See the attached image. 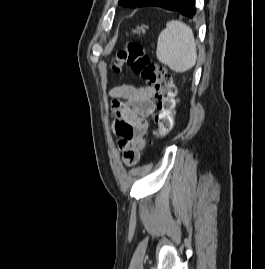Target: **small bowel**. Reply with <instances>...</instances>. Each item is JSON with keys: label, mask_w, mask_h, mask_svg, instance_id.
I'll list each match as a JSON object with an SVG mask.
<instances>
[{"label": "small bowel", "mask_w": 265, "mask_h": 269, "mask_svg": "<svg viewBox=\"0 0 265 269\" xmlns=\"http://www.w3.org/2000/svg\"><path fill=\"white\" fill-rule=\"evenodd\" d=\"M155 90L152 86L135 87L132 85H122L112 88L109 91L114 102V113L116 123L124 121L134 129L132 139L120 136L119 148L122 152L125 164L134 165L140 156V151L146 143L149 124L146 120L155 111L153 100Z\"/></svg>", "instance_id": "small-bowel-1"}]
</instances>
